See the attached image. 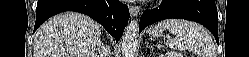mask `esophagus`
<instances>
[{
    "label": "esophagus",
    "instance_id": "esophagus-1",
    "mask_svg": "<svg viewBox=\"0 0 249 57\" xmlns=\"http://www.w3.org/2000/svg\"><path fill=\"white\" fill-rule=\"evenodd\" d=\"M129 11H130L131 17H134L140 12V7L139 6H130Z\"/></svg>",
    "mask_w": 249,
    "mask_h": 57
}]
</instances>
